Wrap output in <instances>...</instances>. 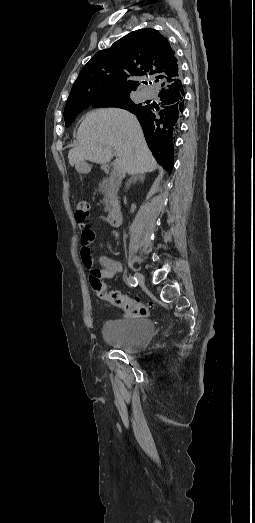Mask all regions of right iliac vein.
Instances as JSON below:
<instances>
[{"label": "right iliac vein", "instance_id": "obj_1", "mask_svg": "<svg viewBox=\"0 0 255 523\" xmlns=\"http://www.w3.org/2000/svg\"><path fill=\"white\" fill-rule=\"evenodd\" d=\"M135 277L137 278V280H138V282L140 284H144L145 283V278H144V276L141 273L137 272L135 274Z\"/></svg>", "mask_w": 255, "mask_h": 523}]
</instances>
